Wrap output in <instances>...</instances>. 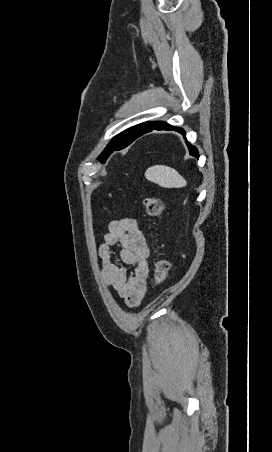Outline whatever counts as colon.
Here are the masks:
<instances>
[{"label":"colon","mask_w":272,"mask_h":452,"mask_svg":"<svg viewBox=\"0 0 272 452\" xmlns=\"http://www.w3.org/2000/svg\"><path fill=\"white\" fill-rule=\"evenodd\" d=\"M146 213L152 218H158L163 211L162 200L157 196L146 197L143 201ZM170 263L167 259L161 258L155 264L154 286L159 287L166 280Z\"/></svg>","instance_id":"obj_1"}]
</instances>
